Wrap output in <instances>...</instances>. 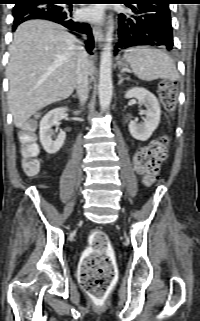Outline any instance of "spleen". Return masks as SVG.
Listing matches in <instances>:
<instances>
[{
    "label": "spleen",
    "mask_w": 200,
    "mask_h": 321,
    "mask_svg": "<svg viewBox=\"0 0 200 321\" xmlns=\"http://www.w3.org/2000/svg\"><path fill=\"white\" fill-rule=\"evenodd\" d=\"M124 60L131 66L134 74L143 81L158 78L176 81L179 78L173 59L164 51L149 46L130 48Z\"/></svg>",
    "instance_id": "obj_1"
}]
</instances>
